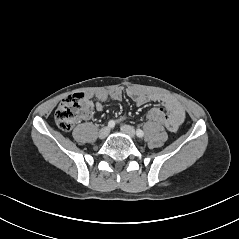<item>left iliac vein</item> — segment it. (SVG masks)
<instances>
[{"instance_id": "left-iliac-vein-1", "label": "left iliac vein", "mask_w": 239, "mask_h": 239, "mask_svg": "<svg viewBox=\"0 0 239 239\" xmlns=\"http://www.w3.org/2000/svg\"><path fill=\"white\" fill-rule=\"evenodd\" d=\"M121 131H122L124 134L128 135L129 137H131V138H134V137H135V130H134L133 127H131V126H129V125H123V126L121 127Z\"/></svg>"}]
</instances>
